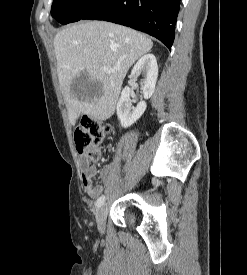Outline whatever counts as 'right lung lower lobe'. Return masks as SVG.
Returning a JSON list of instances; mask_svg holds the SVG:
<instances>
[{
    "label": "right lung lower lobe",
    "instance_id": "1",
    "mask_svg": "<svg viewBox=\"0 0 247 275\" xmlns=\"http://www.w3.org/2000/svg\"><path fill=\"white\" fill-rule=\"evenodd\" d=\"M180 0H102L82 19L104 20L148 33L170 50Z\"/></svg>",
    "mask_w": 247,
    "mask_h": 275
}]
</instances>
